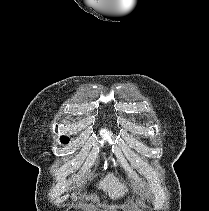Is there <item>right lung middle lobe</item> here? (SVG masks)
I'll return each mask as SVG.
<instances>
[{"instance_id": "dd1d6c3e", "label": "right lung middle lobe", "mask_w": 209, "mask_h": 211, "mask_svg": "<svg viewBox=\"0 0 209 211\" xmlns=\"http://www.w3.org/2000/svg\"><path fill=\"white\" fill-rule=\"evenodd\" d=\"M61 141H62L63 143H68L69 138H67V137H62V138H61Z\"/></svg>"}]
</instances>
